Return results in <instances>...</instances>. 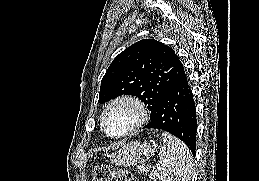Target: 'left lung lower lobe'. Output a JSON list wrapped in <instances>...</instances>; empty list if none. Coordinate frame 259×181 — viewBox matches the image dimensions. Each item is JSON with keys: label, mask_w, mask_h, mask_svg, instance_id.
Instances as JSON below:
<instances>
[{"label": "left lung lower lobe", "mask_w": 259, "mask_h": 181, "mask_svg": "<svg viewBox=\"0 0 259 181\" xmlns=\"http://www.w3.org/2000/svg\"><path fill=\"white\" fill-rule=\"evenodd\" d=\"M144 128L161 129L175 135L195 156L196 108L184 69L177 81L165 92L154 118Z\"/></svg>", "instance_id": "0a47b994"}]
</instances>
